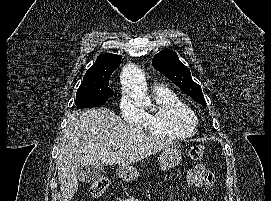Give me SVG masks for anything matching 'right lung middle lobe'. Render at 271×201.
I'll use <instances>...</instances> for the list:
<instances>
[{
    "label": "right lung middle lobe",
    "mask_w": 271,
    "mask_h": 201,
    "mask_svg": "<svg viewBox=\"0 0 271 201\" xmlns=\"http://www.w3.org/2000/svg\"><path fill=\"white\" fill-rule=\"evenodd\" d=\"M109 75L83 78L77 90L75 104L81 108H91L103 105L114 91L109 88Z\"/></svg>",
    "instance_id": "obj_1"
}]
</instances>
